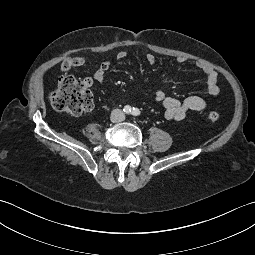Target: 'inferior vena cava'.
Returning <instances> with one entry per match:
<instances>
[{
  "instance_id": "inferior-vena-cava-1",
  "label": "inferior vena cava",
  "mask_w": 255,
  "mask_h": 255,
  "mask_svg": "<svg viewBox=\"0 0 255 255\" xmlns=\"http://www.w3.org/2000/svg\"><path fill=\"white\" fill-rule=\"evenodd\" d=\"M125 118V114L121 109H114L111 113V120L113 122H121Z\"/></svg>"
}]
</instances>
